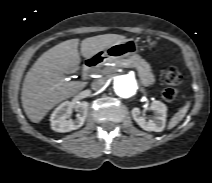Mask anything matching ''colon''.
Returning <instances> with one entry per match:
<instances>
[{"mask_svg":"<svg viewBox=\"0 0 212 183\" xmlns=\"http://www.w3.org/2000/svg\"><path fill=\"white\" fill-rule=\"evenodd\" d=\"M166 87L162 91V97L166 101H172L177 95L176 87L182 82V75L175 68H169L163 76Z\"/></svg>","mask_w":212,"mask_h":183,"instance_id":"1","label":"colon"}]
</instances>
